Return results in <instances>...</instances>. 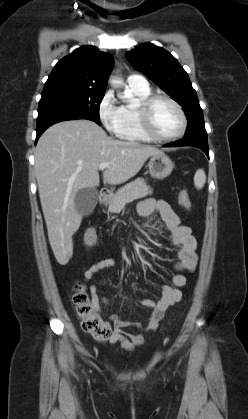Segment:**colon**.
Segmentation results:
<instances>
[{"label": "colon", "mask_w": 248, "mask_h": 419, "mask_svg": "<svg viewBox=\"0 0 248 419\" xmlns=\"http://www.w3.org/2000/svg\"><path fill=\"white\" fill-rule=\"evenodd\" d=\"M178 201L185 210L191 209L192 203L187 190H181L178 193ZM96 239L95 230L88 229L84 235L85 245L89 248L93 247L96 243ZM72 302L84 331L90 333L98 340H106L111 336V325L99 317L97 306L91 301L89 295L79 283L74 285Z\"/></svg>", "instance_id": "obj_1"}]
</instances>
